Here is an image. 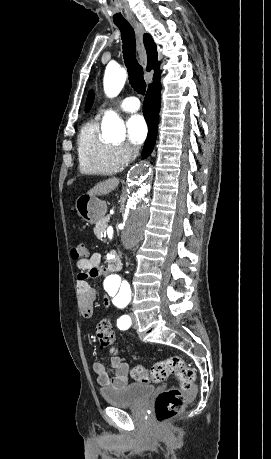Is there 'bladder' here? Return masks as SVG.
Instances as JSON below:
<instances>
[{
    "mask_svg": "<svg viewBox=\"0 0 271 459\" xmlns=\"http://www.w3.org/2000/svg\"><path fill=\"white\" fill-rule=\"evenodd\" d=\"M155 391L151 383L128 384L123 389L102 390L104 402L110 405H140Z\"/></svg>",
    "mask_w": 271,
    "mask_h": 459,
    "instance_id": "bladder-1",
    "label": "bladder"
}]
</instances>
